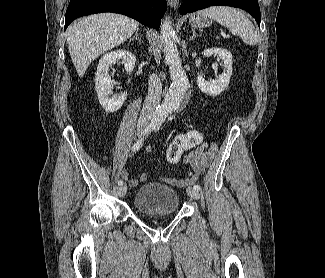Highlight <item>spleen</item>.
<instances>
[{
	"mask_svg": "<svg viewBox=\"0 0 325 278\" xmlns=\"http://www.w3.org/2000/svg\"><path fill=\"white\" fill-rule=\"evenodd\" d=\"M197 14L219 22L231 33L240 36L243 42L248 45L254 46L259 41L255 27L238 9L228 6H212L198 11Z\"/></svg>",
	"mask_w": 325,
	"mask_h": 278,
	"instance_id": "obj_1",
	"label": "spleen"
}]
</instances>
